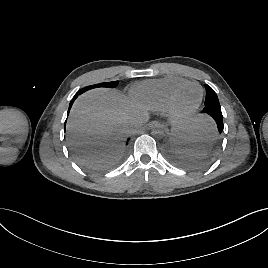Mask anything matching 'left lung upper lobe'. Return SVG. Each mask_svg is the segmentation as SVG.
Returning <instances> with one entry per match:
<instances>
[{
	"instance_id": "1",
	"label": "left lung upper lobe",
	"mask_w": 268,
	"mask_h": 268,
	"mask_svg": "<svg viewBox=\"0 0 268 268\" xmlns=\"http://www.w3.org/2000/svg\"><path fill=\"white\" fill-rule=\"evenodd\" d=\"M206 88V98H205V107H220V103L217 97V94L214 90L209 86L205 85Z\"/></svg>"
}]
</instances>
